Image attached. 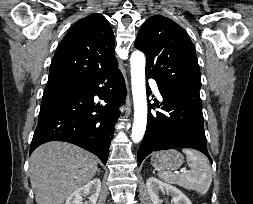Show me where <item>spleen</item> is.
<instances>
[{"instance_id": "1", "label": "spleen", "mask_w": 253, "mask_h": 204, "mask_svg": "<svg viewBox=\"0 0 253 204\" xmlns=\"http://www.w3.org/2000/svg\"><path fill=\"white\" fill-rule=\"evenodd\" d=\"M183 152L186 154L191 170L181 174L159 171V178L167 183L205 194L211 185L213 175L208 159L202 153L192 149H183Z\"/></svg>"}]
</instances>
